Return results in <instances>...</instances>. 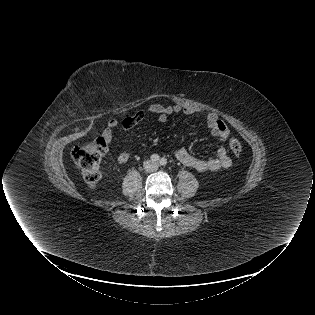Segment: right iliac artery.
I'll list each match as a JSON object with an SVG mask.
<instances>
[{"label": "right iliac artery", "instance_id": "82829eb1", "mask_svg": "<svg viewBox=\"0 0 315 315\" xmlns=\"http://www.w3.org/2000/svg\"><path fill=\"white\" fill-rule=\"evenodd\" d=\"M150 158H151V160H152L153 162H156V161L159 160V157H158V155H156V154L151 155Z\"/></svg>", "mask_w": 315, "mask_h": 315}]
</instances>
